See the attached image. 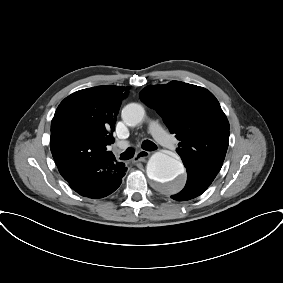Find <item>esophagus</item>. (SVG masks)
Returning a JSON list of instances; mask_svg holds the SVG:
<instances>
[{"mask_svg": "<svg viewBox=\"0 0 283 283\" xmlns=\"http://www.w3.org/2000/svg\"><path fill=\"white\" fill-rule=\"evenodd\" d=\"M150 156V152L149 151H145V150H141L139 151L133 158V162L137 163V162H145L146 159Z\"/></svg>", "mask_w": 283, "mask_h": 283, "instance_id": "1", "label": "esophagus"}]
</instances>
